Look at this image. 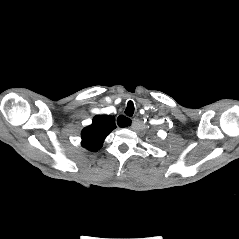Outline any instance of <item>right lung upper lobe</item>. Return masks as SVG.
Instances as JSON below:
<instances>
[{
    "label": "right lung upper lobe",
    "instance_id": "cb5924a9",
    "mask_svg": "<svg viewBox=\"0 0 239 239\" xmlns=\"http://www.w3.org/2000/svg\"><path fill=\"white\" fill-rule=\"evenodd\" d=\"M116 128L115 118L107 115H97L92 124L83 129L81 133L82 145L90 151H98L104 139Z\"/></svg>",
    "mask_w": 239,
    "mask_h": 239
}]
</instances>
